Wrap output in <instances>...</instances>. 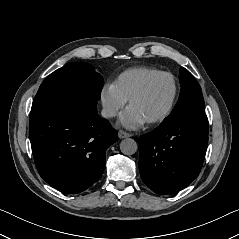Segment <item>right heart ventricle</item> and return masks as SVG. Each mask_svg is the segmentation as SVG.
Returning <instances> with one entry per match:
<instances>
[{"label": "right heart ventricle", "instance_id": "right-heart-ventricle-1", "mask_svg": "<svg viewBox=\"0 0 239 239\" xmlns=\"http://www.w3.org/2000/svg\"><path fill=\"white\" fill-rule=\"evenodd\" d=\"M158 72L160 71L148 67L129 68L118 75L114 85L120 95L127 100L149 77Z\"/></svg>", "mask_w": 239, "mask_h": 239}]
</instances>
